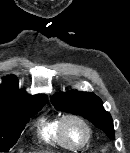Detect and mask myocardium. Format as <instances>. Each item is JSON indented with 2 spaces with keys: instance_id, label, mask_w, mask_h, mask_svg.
Returning a JSON list of instances; mask_svg holds the SVG:
<instances>
[{
  "instance_id": "1",
  "label": "myocardium",
  "mask_w": 130,
  "mask_h": 153,
  "mask_svg": "<svg viewBox=\"0 0 130 153\" xmlns=\"http://www.w3.org/2000/svg\"><path fill=\"white\" fill-rule=\"evenodd\" d=\"M69 121H76L78 122L84 129L86 137L85 140L79 144V145H75L72 142H70V140L68 139L67 135H66V131H65V127L66 124ZM59 132L61 134V137L63 139V141L65 142V144L73 150H79L84 148L86 145H88V143L90 142L91 139V128L88 124V122L80 115L76 114V113H68L64 116L61 117L60 122H59Z\"/></svg>"
}]
</instances>
